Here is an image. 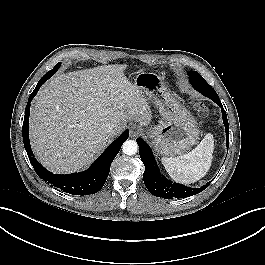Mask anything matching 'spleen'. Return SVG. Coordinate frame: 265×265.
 Masks as SVG:
<instances>
[{
  "instance_id": "3e777b00",
  "label": "spleen",
  "mask_w": 265,
  "mask_h": 265,
  "mask_svg": "<svg viewBox=\"0 0 265 265\" xmlns=\"http://www.w3.org/2000/svg\"><path fill=\"white\" fill-rule=\"evenodd\" d=\"M213 150V135L208 133L188 154L175 158L162 157L161 161L171 178L180 183L190 184L207 174L212 164Z\"/></svg>"
}]
</instances>
